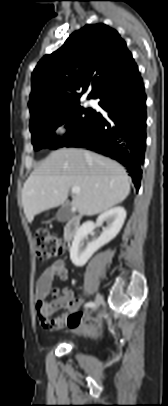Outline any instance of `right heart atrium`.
<instances>
[{
	"mask_svg": "<svg viewBox=\"0 0 168 406\" xmlns=\"http://www.w3.org/2000/svg\"><path fill=\"white\" fill-rule=\"evenodd\" d=\"M68 131V122L66 119H60L56 122L54 132L58 136L66 134Z\"/></svg>",
	"mask_w": 168,
	"mask_h": 406,
	"instance_id": "1",
	"label": "right heart atrium"
}]
</instances>
